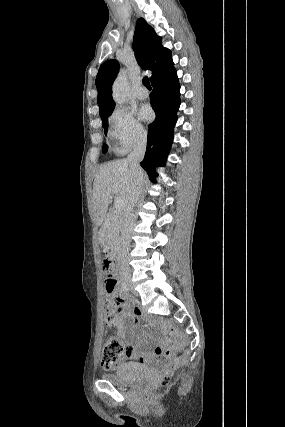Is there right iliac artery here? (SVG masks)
I'll return each mask as SVG.
<instances>
[{
	"instance_id": "obj_1",
	"label": "right iliac artery",
	"mask_w": 285,
	"mask_h": 427,
	"mask_svg": "<svg viewBox=\"0 0 285 427\" xmlns=\"http://www.w3.org/2000/svg\"><path fill=\"white\" fill-rule=\"evenodd\" d=\"M121 288H122L123 292H126V293L128 292V288H127V286H126L125 283H122V287Z\"/></svg>"
}]
</instances>
